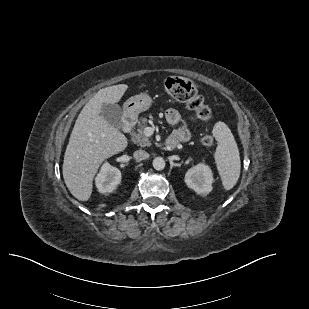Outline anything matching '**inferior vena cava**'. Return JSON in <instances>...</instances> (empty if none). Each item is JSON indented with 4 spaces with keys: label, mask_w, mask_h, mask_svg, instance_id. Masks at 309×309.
Wrapping results in <instances>:
<instances>
[{
    "label": "inferior vena cava",
    "mask_w": 309,
    "mask_h": 309,
    "mask_svg": "<svg viewBox=\"0 0 309 309\" xmlns=\"http://www.w3.org/2000/svg\"><path fill=\"white\" fill-rule=\"evenodd\" d=\"M133 157L135 160L143 161L149 158V154L146 151L140 149V150H136L133 153Z\"/></svg>",
    "instance_id": "obj_1"
}]
</instances>
